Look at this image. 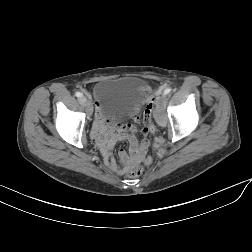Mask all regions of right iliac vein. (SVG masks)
<instances>
[{
    "mask_svg": "<svg viewBox=\"0 0 252 252\" xmlns=\"http://www.w3.org/2000/svg\"><path fill=\"white\" fill-rule=\"evenodd\" d=\"M79 102L81 105L86 107L87 114L90 116L92 114V107L90 105V102L87 100L86 97H80Z\"/></svg>",
    "mask_w": 252,
    "mask_h": 252,
    "instance_id": "63e3f726",
    "label": "right iliac vein"
}]
</instances>
